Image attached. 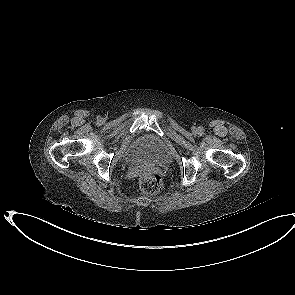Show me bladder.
I'll return each mask as SVG.
<instances>
[{
	"mask_svg": "<svg viewBox=\"0 0 295 295\" xmlns=\"http://www.w3.org/2000/svg\"><path fill=\"white\" fill-rule=\"evenodd\" d=\"M124 158L129 162L145 161L155 165L170 164L172 156L167 144L159 137L143 134L135 138L127 147Z\"/></svg>",
	"mask_w": 295,
	"mask_h": 295,
	"instance_id": "31cf9c89",
	"label": "bladder"
}]
</instances>
